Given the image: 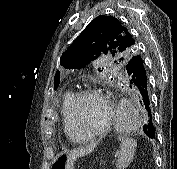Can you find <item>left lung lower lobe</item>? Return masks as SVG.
<instances>
[{
    "mask_svg": "<svg viewBox=\"0 0 177 169\" xmlns=\"http://www.w3.org/2000/svg\"><path fill=\"white\" fill-rule=\"evenodd\" d=\"M125 69L129 76L130 88L133 87L137 92L147 118V123L143 126V131L149 138H155V127L152 121L147 70L144 59L139 54L133 56L126 64Z\"/></svg>",
    "mask_w": 177,
    "mask_h": 169,
    "instance_id": "1",
    "label": "left lung lower lobe"
}]
</instances>
